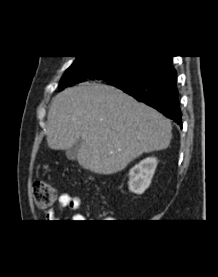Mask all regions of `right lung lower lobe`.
Here are the masks:
<instances>
[{
  "instance_id": "right-lung-lower-lobe-1",
  "label": "right lung lower lobe",
  "mask_w": 218,
  "mask_h": 277,
  "mask_svg": "<svg viewBox=\"0 0 218 277\" xmlns=\"http://www.w3.org/2000/svg\"><path fill=\"white\" fill-rule=\"evenodd\" d=\"M100 77L97 73L90 72L83 76V81L87 79L100 80ZM176 79L177 75L172 66L171 56H156L134 79L113 86L155 108L181 125Z\"/></svg>"
}]
</instances>
